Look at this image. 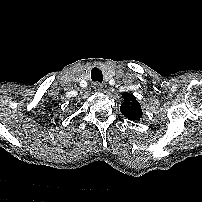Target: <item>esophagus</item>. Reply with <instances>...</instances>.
Returning a JSON list of instances; mask_svg holds the SVG:
<instances>
[{
	"instance_id": "esophagus-1",
	"label": "esophagus",
	"mask_w": 202,
	"mask_h": 202,
	"mask_svg": "<svg viewBox=\"0 0 202 202\" xmlns=\"http://www.w3.org/2000/svg\"><path fill=\"white\" fill-rule=\"evenodd\" d=\"M93 88H94V90H95L96 92H101L102 89H103V85H102L101 83H99V82H95V83L93 84Z\"/></svg>"
}]
</instances>
